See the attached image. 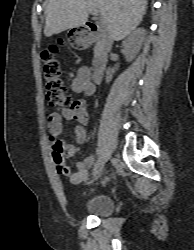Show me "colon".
<instances>
[{"label": "colon", "mask_w": 194, "mask_h": 250, "mask_svg": "<svg viewBox=\"0 0 194 250\" xmlns=\"http://www.w3.org/2000/svg\"><path fill=\"white\" fill-rule=\"evenodd\" d=\"M43 80L45 97L48 102L58 109L71 108L75 102L67 92L62 76L60 62L57 58V47L50 46L42 52ZM67 169L65 168L64 171Z\"/></svg>", "instance_id": "1"}]
</instances>
